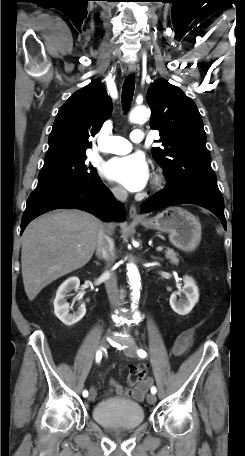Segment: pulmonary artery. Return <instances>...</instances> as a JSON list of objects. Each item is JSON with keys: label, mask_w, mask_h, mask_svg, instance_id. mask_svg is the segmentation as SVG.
<instances>
[{"label": "pulmonary artery", "mask_w": 245, "mask_h": 456, "mask_svg": "<svg viewBox=\"0 0 245 456\" xmlns=\"http://www.w3.org/2000/svg\"><path fill=\"white\" fill-rule=\"evenodd\" d=\"M143 139V131L136 129L131 132L130 141L120 136H111L104 140L98 147V151L103 153L125 154L132 149L131 142L140 143Z\"/></svg>", "instance_id": "e3ab8cb5"}]
</instances>
